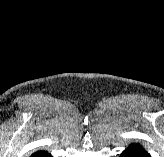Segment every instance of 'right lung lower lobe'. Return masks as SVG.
Listing matches in <instances>:
<instances>
[{"label": "right lung lower lobe", "instance_id": "obj_1", "mask_svg": "<svg viewBox=\"0 0 164 157\" xmlns=\"http://www.w3.org/2000/svg\"><path fill=\"white\" fill-rule=\"evenodd\" d=\"M31 157H52L48 152L46 151H37L31 155Z\"/></svg>", "mask_w": 164, "mask_h": 157}]
</instances>
